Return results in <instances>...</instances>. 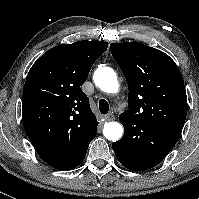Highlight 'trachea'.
<instances>
[{"label": "trachea", "mask_w": 199, "mask_h": 199, "mask_svg": "<svg viewBox=\"0 0 199 199\" xmlns=\"http://www.w3.org/2000/svg\"><path fill=\"white\" fill-rule=\"evenodd\" d=\"M99 111L101 112V114H107L109 111V104L106 100L101 99L99 101Z\"/></svg>", "instance_id": "trachea-1"}]
</instances>
